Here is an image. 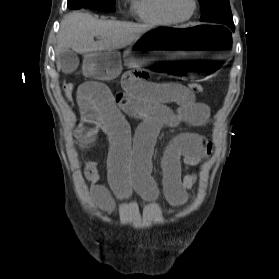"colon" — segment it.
I'll list each match as a JSON object with an SVG mask.
<instances>
[{
    "label": "colon",
    "mask_w": 279,
    "mask_h": 279,
    "mask_svg": "<svg viewBox=\"0 0 279 279\" xmlns=\"http://www.w3.org/2000/svg\"><path fill=\"white\" fill-rule=\"evenodd\" d=\"M188 89L193 94H197V93H201L203 91V86L200 83H192L188 86ZM63 91H64L65 98L67 100H72L76 94V87L72 83H67V84L63 85Z\"/></svg>",
    "instance_id": "5ec220e1"
}]
</instances>
